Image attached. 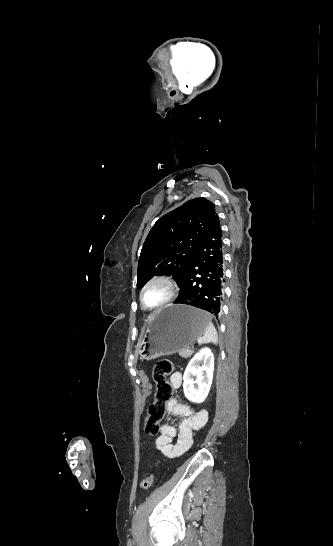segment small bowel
<instances>
[{
	"label": "small bowel",
	"instance_id": "obj_1",
	"mask_svg": "<svg viewBox=\"0 0 333 546\" xmlns=\"http://www.w3.org/2000/svg\"><path fill=\"white\" fill-rule=\"evenodd\" d=\"M170 383L174 388H180L183 383L181 372L173 373L170 376ZM166 410L170 417L180 416L183 420L178 429L169 423L163 424L155 445L168 458H176L191 447L194 433L201 430L208 421V412L203 409L194 411L176 398L168 402Z\"/></svg>",
	"mask_w": 333,
	"mask_h": 546
}]
</instances>
